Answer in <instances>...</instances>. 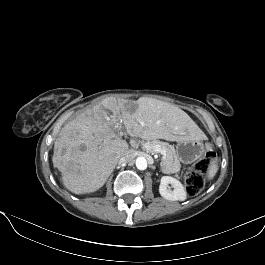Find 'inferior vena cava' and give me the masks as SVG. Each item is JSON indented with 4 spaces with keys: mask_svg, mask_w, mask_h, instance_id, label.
I'll list each match as a JSON object with an SVG mask.
<instances>
[{
    "mask_svg": "<svg viewBox=\"0 0 265 265\" xmlns=\"http://www.w3.org/2000/svg\"><path fill=\"white\" fill-rule=\"evenodd\" d=\"M133 158H134L133 151L128 150L120 157V159L118 161L120 164L121 163H129L133 160Z\"/></svg>",
    "mask_w": 265,
    "mask_h": 265,
    "instance_id": "1",
    "label": "inferior vena cava"
}]
</instances>
